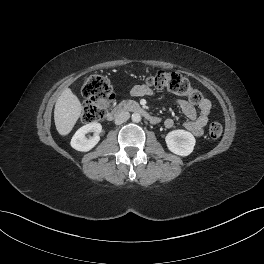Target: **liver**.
<instances>
[{
  "label": "liver",
  "mask_w": 264,
  "mask_h": 264,
  "mask_svg": "<svg viewBox=\"0 0 264 264\" xmlns=\"http://www.w3.org/2000/svg\"><path fill=\"white\" fill-rule=\"evenodd\" d=\"M82 105L70 88H65L58 97L54 109V121L58 133L68 135L81 115Z\"/></svg>",
  "instance_id": "obj_1"
}]
</instances>
